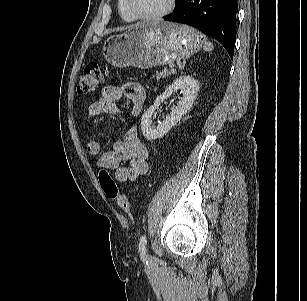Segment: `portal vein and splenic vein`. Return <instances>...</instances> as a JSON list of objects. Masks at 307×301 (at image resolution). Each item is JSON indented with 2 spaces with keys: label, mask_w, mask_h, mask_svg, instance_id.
I'll return each instance as SVG.
<instances>
[{
  "label": "portal vein and splenic vein",
  "mask_w": 307,
  "mask_h": 301,
  "mask_svg": "<svg viewBox=\"0 0 307 301\" xmlns=\"http://www.w3.org/2000/svg\"><path fill=\"white\" fill-rule=\"evenodd\" d=\"M169 67H170V68H174V64L171 63V64L169 65Z\"/></svg>",
  "instance_id": "18ae733b"
}]
</instances>
